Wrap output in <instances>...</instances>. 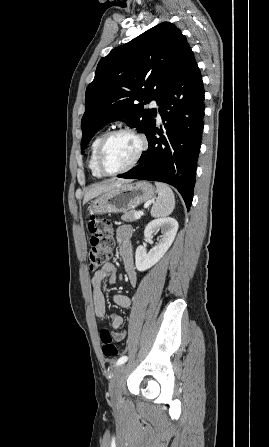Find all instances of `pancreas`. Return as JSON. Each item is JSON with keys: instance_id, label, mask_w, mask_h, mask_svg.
<instances>
[{"instance_id": "1", "label": "pancreas", "mask_w": 269, "mask_h": 447, "mask_svg": "<svg viewBox=\"0 0 269 447\" xmlns=\"http://www.w3.org/2000/svg\"><path fill=\"white\" fill-rule=\"evenodd\" d=\"M134 214V210H131V212H126V214L122 216V220H124V222H136Z\"/></svg>"}]
</instances>
